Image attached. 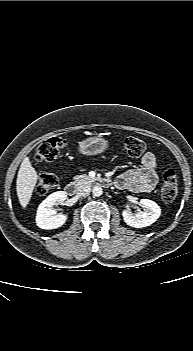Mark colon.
<instances>
[{
    "instance_id": "1",
    "label": "colon",
    "mask_w": 193,
    "mask_h": 351,
    "mask_svg": "<svg viewBox=\"0 0 193 351\" xmlns=\"http://www.w3.org/2000/svg\"><path fill=\"white\" fill-rule=\"evenodd\" d=\"M65 139L55 136L43 140L36 149V157L39 161H52L59 157L66 149ZM123 146L131 157L141 156L146 149L143 140L136 137H127L123 140ZM57 185V178L54 174L43 173L36 184V193L40 196L46 195ZM161 197L165 202H172L178 193V176L173 169L165 170L163 174Z\"/></svg>"
}]
</instances>
